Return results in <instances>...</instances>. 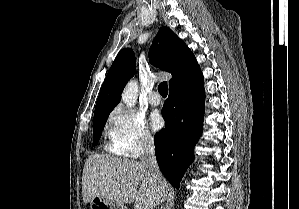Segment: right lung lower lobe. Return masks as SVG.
Segmentation results:
<instances>
[{
	"label": "right lung lower lobe",
	"mask_w": 299,
	"mask_h": 209,
	"mask_svg": "<svg viewBox=\"0 0 299 209\" xmlns=\"http://www.w3.org/2000/svg\"><path fill=\"white\" fill-rule=\"evenodd\" d=\"M204 80L202 74L191 82L169 90L162 116L165 128L154 137L158 165L175 187L194 160V146L202 135L204 121Z\"/></svg>",
	"instance_id": "obj_1"
}]
</instances>
